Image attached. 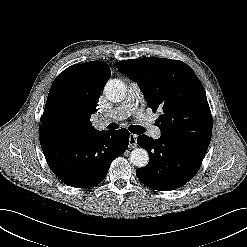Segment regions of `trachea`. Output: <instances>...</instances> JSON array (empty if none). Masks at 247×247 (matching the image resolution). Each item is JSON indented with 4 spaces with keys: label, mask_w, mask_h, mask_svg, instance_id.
Instances as JSON below:
<instances>
[{
    "label": "trachea",
    "mask_w": 247,
    "mask_h": 247,
    "mask_svg": "<svg viewBox=\"0 0 247 247\" xmlns=\"http://www.w3.org/2000/svg\"><path fill=\"white\" fill-rule=\"evenodd\" d=\"M118 128H119V126L116 123H110L107 126V129H109V130H115V129H118ZM128 129L133 134H142L143 132H145V129L142 126H140V125H130L128 127Z\"/></svg>",
    "instance_id": "obj_1"
}]
</instances>
